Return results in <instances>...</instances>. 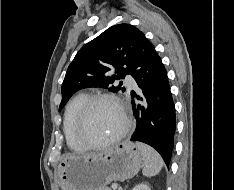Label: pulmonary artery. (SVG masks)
<instances>
[{"mask_svg":"<svg viewBox=\"0 0 234 190\" xmlns=\"http://www.w3.org/2000/svg\"><path fill=\"white\" fill-rule=\"evenodd\" d=\"M126 83H127V85H128L130 88H133V89L136 88V83L134 82L133 79L127 78V79H126Z\"/></svg>","mask_w":234,"mask_h":190,"instance_id":"pulmonary-artery-1","label":"pulmonary artery"}]
</instances>
